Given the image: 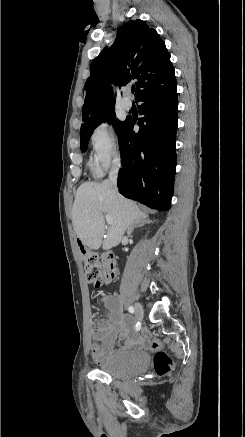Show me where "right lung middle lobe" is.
<instances>
[{
  "label": "right lung middle lobe",
  "instance_id": "obj_1",
  "mask_svg": "<svg viewBox=\"0 0 245 437\" xmlns=\"http://www.w3.org/2000/svg\"><path fill=\"white\" fill-rule=\"evenodd\" d=\"M108 121L109 123H113L116 133L119 135L126 121L122 122L116 119V114L114 108L109 109L102 113L99 117H97L94 121L84 125L80 130V143H81V151L85 152L87 149V145L92 135L93 130L100 125L102 122Z\"/></svg>",
  "mask_w": 245,
  "mask_h": 437
}]
</instances>
